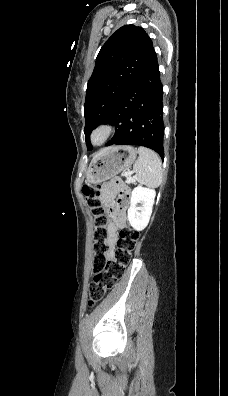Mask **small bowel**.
Masks as SVG:
<instances>
[{
	"label": "small bowel",
	"mask_w": 228,
	"mask_h": 396,
	"mask_svg": "<svg viewBox=\"0 0 228 396\" xmlns=\"http://www.w3.org/2000/svg\"><path fill=\"white\" fill-rule=\"evenodd\" d=\"M102 199L104 205L111 210L112 220L108 224V229L111 233V242H113L117 230L124 225V204L121 199L115 201V193L110 185L103 186Z\"/></svg>",
	"instance_id": "obj_1"
}]
</instances>
